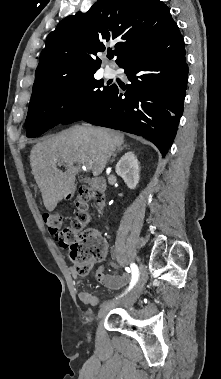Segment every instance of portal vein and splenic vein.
I'll list each match as a JSON object with an SVG mask.
<instances>
[{"label": "portal vein and splenic vein", "instance_id": "18ae733b", "mask_svg": "<svg viewBox=\"0 0 221 379\" xmlns=\"http://www.w3.org/2000/svg\"><path fill=\"white\" fill-rule=\"evenodd\" d=\"M84 166L86 167V169H88V170H90V169H92V162H86L85 164H84Z\"/></svg>", "mask_w": 221, "mask_h": 379}]
</instances>
